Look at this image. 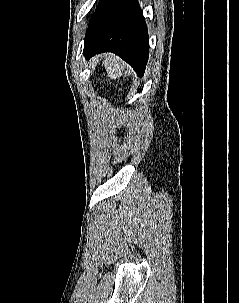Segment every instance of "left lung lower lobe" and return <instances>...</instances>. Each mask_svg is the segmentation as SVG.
<instances>
[{
  "label": "left lung lower lobe",
  "instance_id": "left-lung-lower-lobe-1",
  "mask_svg": "<svg viewBox=\"0 0 239 303\" xmlns=\"http://www.w3.org/2000/svg\"><path fill=\"white\" fill-rule=\"evenodd\" d=\"M113 52L143 76L148 61L149 37L137 0H117L99 25L85 38L84 55Z\"/></svg>",
  "mask_w": 239,
  "mask_h": 303
}]
</instances>
